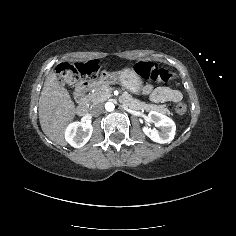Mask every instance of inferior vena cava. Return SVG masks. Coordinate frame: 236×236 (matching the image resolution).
<instances>
[{
	"label": "inferior vena cava",
	"mask_w": 236,
	"mask_h": 236,
	"mask_svg": "<svg viewBox=\"0 0 236 236\" xmlns=\"http://www.w3.org/2000/svg\"><path fill=\"white\" fill-rule=\"evenodd\" d=\"M104 110V106L102 104H94L90 111H91V114L96 116V115H99L100 113H102Z\"/></svg>",
	"instance_id": "inferior-vena-cava-1"
}]
</instances>
